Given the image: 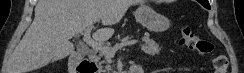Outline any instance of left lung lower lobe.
Returning <instances> with one entry per match:
<instances>
[{"mask_svg":"<svg viewBox=\"0 0 244 73\" xmlns=\"http://www.w3.org/2000/svg\"><path fill=\"white\" fill-rule=\"evenodd\" d=\"M202 5H206V3L204 2V0H198ZM207 9H210V5H206ZM206 8V7H205Z\"/></svg>","mask_w":244,"mask_h":73,"instance_id":"1","label":"left lung lower lobe"}]
</instances>
